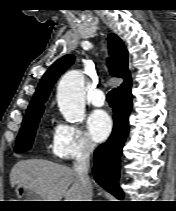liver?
<instances>
[{"label": "liver", "mask_w": 176, "mask_h": 211, "mask_svg": "<svg viewBox=\"0 0 176 211\" xmlns=\"http://www.w3.org/2000/svg\"><path fill=\"white\" fill-rule=\"evenodd\" d=\"M14 187L23 184L44 201H84L85 190L73 169L47 160L30 159L17 162L10 173Z\"/></svg>", "instance_id": "6515ba94"}]
</instances>
